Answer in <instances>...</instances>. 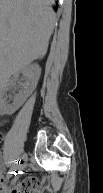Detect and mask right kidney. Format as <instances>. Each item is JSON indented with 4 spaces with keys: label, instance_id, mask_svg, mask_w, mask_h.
Returning <instances> with one entry per match:
<instances>
[{
    "label": "right kidney",
    "instance_id": "ca27d5eb",
    "mask_svg": "<svg viewBox=\"0 0 103 193\" xmlns=\"http://www.w3.org/2000/svg\"><path fill=\"white\" fill-rule=\"evenodd\" d=\"M21 73L25 76L24 81L21 83V86L24 88V91L19 94L17 99L12 105L6 104L4 100V95L8 91L9 87L15 85V81L18 78V75L12 80H8L7 83L2 84L0 88V98H1V110L3 114L11 115L16 110H18L26 99L31 95L33 90L36 88L38 79L41 74V68L39 65H28L21 70Z\"/></svg>",
    "mask_w": 103,
    "mask_h": 193
}]
</instances>
